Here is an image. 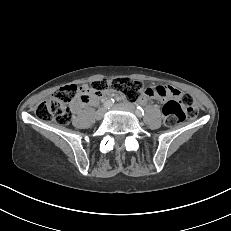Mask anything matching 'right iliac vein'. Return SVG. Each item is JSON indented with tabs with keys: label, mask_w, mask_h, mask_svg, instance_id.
<instances>
[{
	"label": "right iliac vein",
	"mask_w": 231,
	"mask_h": 231,
	"mask_svg": "<svg viewBox=\"0 0 231 231\" xmlns=\"http://www.w3.org/2000/svg\"><path fill=\"white\" fill-rule=\"evenodd\" d=\"M105 112H106V110H105L104 108H100V109L96 112L95 118H96L97 120L102 119L103 116H104V114H105Z\"/></svg>",
	"instance_id": "1"
}]
</instances>
